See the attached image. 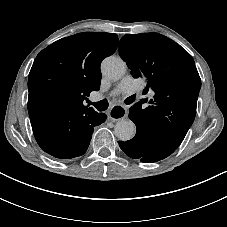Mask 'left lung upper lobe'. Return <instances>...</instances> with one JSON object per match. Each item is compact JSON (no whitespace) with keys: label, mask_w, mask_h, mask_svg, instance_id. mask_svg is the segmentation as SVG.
Listing matches in <instances>:
<instances>
[{"label":"left lung upper lobe","mask_w":227,"mask_h":227,"mask_svg":"<svg viewBox=\"0 0 227 227\" xmlns=\"http://www.w3.org/2000/svg\"><path fill=\"white\" fill-rule=\"evenodd\" d=\"M119 52L135 78L146 77V92L148 88L155 92L148 107L144 105L147 98L131 106L133 122L177 149L194 121L201 88L192 56L158 33L126 34L120 40Z\"/></svg>","instance_id":"obj_1"}]
</instances>
